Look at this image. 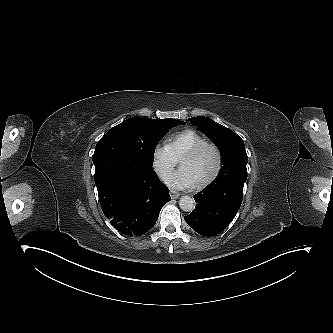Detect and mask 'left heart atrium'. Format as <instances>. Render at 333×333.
Here are the masks:
<instances>
[{
    "instance_id": "left-heart-atrium-1",
    "label": "left heart atrium",
    "mask_w": 333,
    "mask_h": 333,
    "mask_svg": "<svg viewBox=\"0 0 333 333\" xmlns=\"http://www.w3.org/2000/svg\"><path fill=\"white\" fill-rule=\"evenodd\" d=\"M165 182L169 187L174 189L189 188L194 184V181L184 168L169 176Z\"/></svg>"
}]
</instances>
